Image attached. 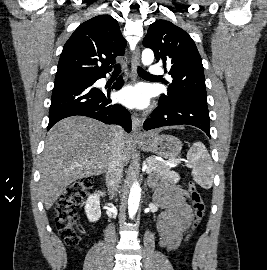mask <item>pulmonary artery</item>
<instances>
[{"mask_svg":"<svg viewBox=\"0 0 267 270\" xmlns=\"http://www.w3.org/2000/svg\"><path fill=\"white\" fill-rule=\"evenodd\" d=\"M162 71H161V68L157 65H152L150 68H149V73L151 75H158L160 74Z\"/></svg>","mask_w":267,"mask_h":270,"instance_id":"obj_1","label":"pulmonary artery"}]
</instances>
